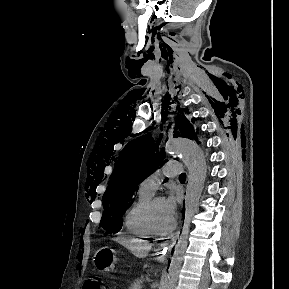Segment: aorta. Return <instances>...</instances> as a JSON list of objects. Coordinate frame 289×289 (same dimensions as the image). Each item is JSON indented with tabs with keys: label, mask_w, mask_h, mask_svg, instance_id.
I'll use <instances>...</instances> for the list:
<instances>
[{
	"label": "aorta",
	"mask_w": 289,
	"mask_h": 289,
	"mask_svg": "<svg viewBox=\"0 0 289 289\" xmlns=\"http://www.w3.org/2000/svg\"><path fill=\"white\" fill-rule=\"evenodd\" d=\"M165 152L168 156L180 157L188 168V183L185 195V219L182 232L174 247L168 269L167 280L163 289H176L178 275L188 245L190 225L198 209L199 200L204 188L207 164L203 151L192 140L171 137L166 143Z\"/></svg>",
	"instance_id": "762f6f07"
}]
</instances>
